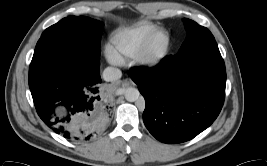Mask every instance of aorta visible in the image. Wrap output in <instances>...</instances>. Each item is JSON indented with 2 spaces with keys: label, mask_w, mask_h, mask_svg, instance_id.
<instances>
[{
  "label": "aorta",
  "mask_w": 267,
  "mask_h": 166,
  "mask_svg": "<svg viewBox=\"0 0 267 166\" xmlns=\"http://www.w3.org/2000/svg\"><path fill=\"white\" fill-rule=\"evenodd\" d=\"M125 99L129 102H135L140 97V92L134 87H128L124 93Z\"/></svg>",
  "instance_id": "obj_1"
}]
</instances>
